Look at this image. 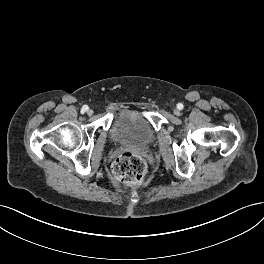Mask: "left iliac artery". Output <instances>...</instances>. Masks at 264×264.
<instances>
[{
    "label": "left iliac artery",
    "instance_id": "44dca946",
    "mask_svg": "<svg viewBox=\"0 0 264 264\" xmlns=\"http://www.w3.org/2000/svg\"><path fill=\"white\" fill-rule=\"evenodd\" d=\"M183 104L182 103H178V105H177V108L179 109V110H182L183 109Z\"/></svg>",
    "mask_w": 264,
    "mask_h": 264
}]
</instances>
